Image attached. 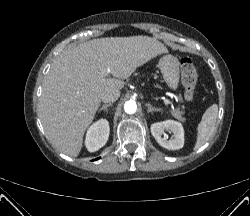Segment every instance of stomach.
<instances>
[{
	"mask_svg": "<svg viewBox=\"0 0 250 216\" xmlns=\"http://www.w3.org/2000/svg\"><path fill=\"white\" fill-rule=\"evenodd\" d=\"M158 66L168 87L177 90L180 81L178 59L172 55H165L160 59Z\"/></svg>",
	"mask_w": 250,
	"mask_h": 216,
	"instance_id": "0dacf381",
	"label": "stomach"
}]
</instances>
